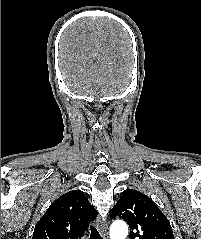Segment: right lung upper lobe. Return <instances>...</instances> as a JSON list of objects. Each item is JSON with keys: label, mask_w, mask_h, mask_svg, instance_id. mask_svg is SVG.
Returning <instances> with one entry per match:
<instances>
[{"label": "right lung upper lobe", "mask_w": 201, "mask_h": 239, "mask_svg": "<svg viewBox=\"0 0 201 239\" xmlns=\"http://www.w3.org/2000/svg\"><path fill=\"white\" fill-rule=\"evenodd\" d=\"M96 216L83 191H69L50 205L37 222L32 239H80Z\"/></svg>", "instance_id": "obj_1"}]
</instances>
